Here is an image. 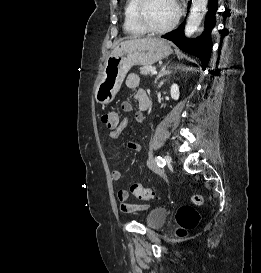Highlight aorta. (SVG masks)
<instances>
[{"instance_id":"aorta-1","label":"aorta","mask_w":261,"mask_h":273,"mask_svg":"<svg viewBox=\"0 0 261 273\" xmlns=\"http://www.w3.org/2000/svg\"><path fill=\"white\" fill-rule=\"evenodd\" d=\"M207 4L208 0H192L190 14L184 31L187 37H191L198 30L206 11Z\"/></svg>"}]
</instances>
